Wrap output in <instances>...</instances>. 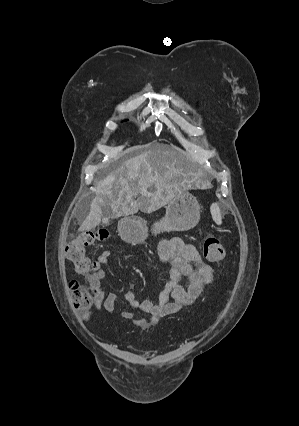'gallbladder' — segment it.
<instances>
[{
    "mask_svg": "<svg viewBox=\"0 0 299 426\" xmlns=\"http://www.w3.org/2000/svg\"><path fill=\"white\" fill-rule=\"evenodd\" d=\"M102 212H103V217L105 218L103 224L108 225L110 222V218L113 217V210L110 206H104L102 208Z\"/></svg>",
    "mask_w": 299,
    "mask_h": 426,
    "instance_id": "1",
    "label": "gallbladder"
}]
</instances>
